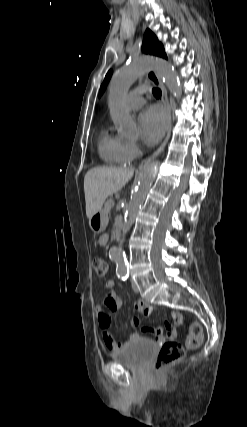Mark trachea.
<instances>
[{
    "label": "trachea",
    "instance_id": "trachea-1",
    "mask_svg": "<svg viewBox=\"0 0 247 427\" xmlns=\"http://www.w3.org/2000/svg\"><path fill=\"white\" fill-rule=\"evenodd\" d=\"M152 92H153V95H154L155 97H161V90H160L159 88H154V89L152 90Z\"/></svg>",
    "mask_w": 247,
    "mask_h": 427
}]
</instances>
